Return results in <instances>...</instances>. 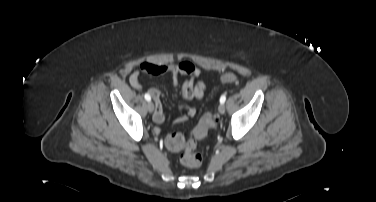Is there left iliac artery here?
I'll list each match as a JSON object with an SVG mask.
<instances>
[{"label":"left iliac artery","instance_id":"left-iliac-artery-1","mask_svg":"<svg viewBox=\"0 0 376 202\" xmlns=\"http://www.w3.org/2000/svg\"><path fill=\"white\" fill-rule=\"evenodd\" d=\"M226 101V96L225 95H222L221 97H220V103H224Z\"/></svg>","mask_w":376,"mask_h":202}]
</instances>
